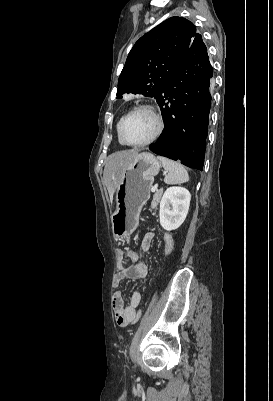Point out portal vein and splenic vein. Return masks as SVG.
<instances>
[{
  "label": "portal vein and splenic vein",
  "mask_w": 273,
  "mask_h": 401,
  "mask_svg": "<svg viewBox=\"0 0 273 401\" xmlns=\"http://www.w3.org/2000/svg\"><path fill=\"white\" fill-rule=\"evenodd\" d=\"M164 174H166V170H164ZM151 190H152V192H155V190H157V184H156V186H152Z\"/></svg>",
  "instance_id": "portal-vein-and-splenic-vein-1"
}]
</instances>
